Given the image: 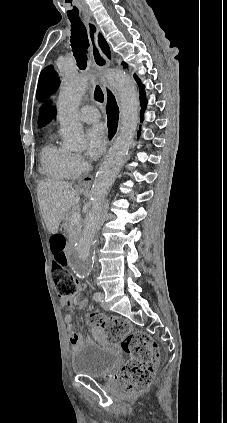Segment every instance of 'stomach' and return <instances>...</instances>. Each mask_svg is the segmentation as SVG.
<instances>
[{"instance_id":"stomach-1","label":"stomach","mask_w":227,"mask_h":423,"mask_svg":"<svg viewBox=\"0 0 227 423\" xmlns=\"http://www.w3.org/2000/svg\"><path fill=\"white\" fill-rule=\"evenodd\" d=\"M80 188H81V190H84V188H82L81 184H80Z\"/></svg>"}]
</instances>
